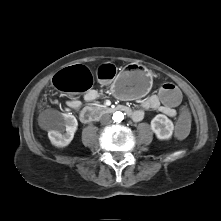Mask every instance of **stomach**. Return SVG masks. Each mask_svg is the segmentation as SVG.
I'll list each match as a JSON object with an SVG mask.
<instances>
[{
    "instance_id": "0dacf381",
    "label": "stomach",
    "mask_w": 221,
    "mask_h": 221,
    "mask_svg": "<svg viewBox=\"0 0 221 221\" xmlns=\"http://www.w3.org/2000/svg\"><path fill=\"white\" fill-rule=\"evenodd\" d=\"M152 75L138 64H128L112 83L113 93L123 99H136L143 96L151 87Z\"/></svg>"
}]
</instances>
